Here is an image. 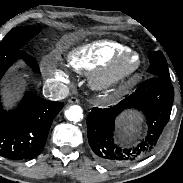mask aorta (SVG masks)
Masks as SVG:
<instances>
[{
    "label": "aorta",
    "instance_id": "762f6f07",
    "mask_svg": "<svg viewBox=\"0 0 183 183\" xmlns=\"http://www.w3.org/2000/svg\"><path fill=\"white\" fill-rule=\"evenodd\" d=\"M65 116L69 121L78 122L83 118V110L78 105H72L66 110Z\"/></svg>",
    "mask_w": 183,
    "mask_h": 183
}]
</instances>
